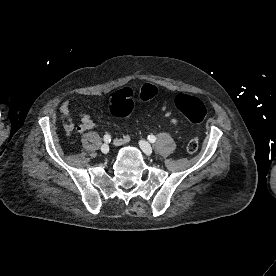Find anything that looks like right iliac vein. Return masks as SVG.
<instances>
[{
  "instance_id": "63e3f726",
  "label": "right iliac vein",
  "mask_w": 276,
  "mask_h": 276,
  "mask_svg": "<svg viewBox=\"0 0 276 276\" xmlns=\"http://www.w3.org/2000/svg\"><path fill=\"white\" fill-rule=\"evenodd\" d=\"M109 150H110V148H109V145H108V144H103V145L101 146V151H102V153L107 154V153L109 152Z\"/></svg>"
}]
</instances>
